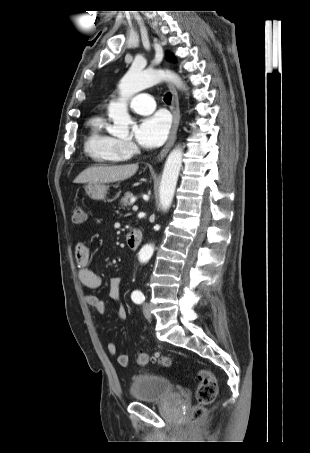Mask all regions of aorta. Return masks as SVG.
Returning a JSON list of instances; mask_svg holds the SVG:
<instances>
[{
    "label": "aorta",
    "instance_id": "aorta-1",
    "mask_svg": "<svg viewBox=\"0 0 310 453\" xmlns=\"http://www.w3.org/2000/svg\"><path fill=\"white\" fill-rule=\"evenodd\" d=\"M163 80L171 81L177 88H183L181 78L166 70L146 69L141 70L132 66L119 83L120 97L118 101L111 102L108 107L109 117L113 120L111 133L115 136H124L129 133L132 119L128 113L127 100L134 94L151 87ZM183 149L176 146L168 155L164 165L160 182L159 196L163 211H167L173 201L179 172L182 166ZM154 252V246L147 244L139 252V261L147 262Z\"/></svg>",
    "mask_w": 310,
    "mask_h": 453
}]
</instances>
